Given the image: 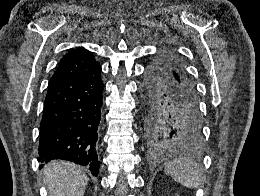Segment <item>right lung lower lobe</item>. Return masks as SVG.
Here are the masks:
<instances>
[{
	"label": "right lung lower lobe",
	"mask_w": 260,
	"mask_h": 196,
	"mask_svg": "<svg viewBox=\"0 0 260 196\" xmlns=\"http://www.w3.org/2000/svg\"><path fill=\"white\" fill-rule=\"evenodd\" d=\"M103 88L101 70L48 87L40 123L39 162L73 161L98 175L96 147Z\"/></svg>",
	"instance_id": "obj_1"
}]
</instances>
